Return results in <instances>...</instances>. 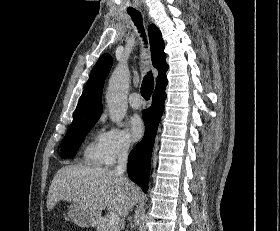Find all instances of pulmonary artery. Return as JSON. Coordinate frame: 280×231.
<instances>
[{
  "label": "pulmonary artery",
  "instance_id": "pulmonary-artery-1",
  "mask_svg": "<svg viewBox=\"0 0 280 231\" xmlns=\"http://www.w3.org/2000/svg\"><path fill=\"white\" fill-rule=\"evenodd\" d=\"M128 102H129L130 106L134 109H138L142 105V101L140 100V96L137 93H132L128 98Z\"/></svg>",
  "mask_w": 280,
  "mask_h": 231
}]
</instances>
